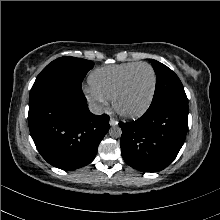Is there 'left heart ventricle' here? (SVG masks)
Listing matches in <instances>:
<instances>
[{
  "label": "left heart ventricle",
  "mask_w": 220,
  "mask_h": 220,
  "mask_svg": "<svg viewBox=\"0 0 220 220\" xmlns=\"http://www.w3.org/2000/svg\"><path fill=\"white\" fill-rule=\"evenodd\" d=\"M152 89V73L147 67L137 68L130 76L124 92L118 99V107L125 112L141 109Z\"/></svg>",
  "instance_id": "1"
}]
</instances>
